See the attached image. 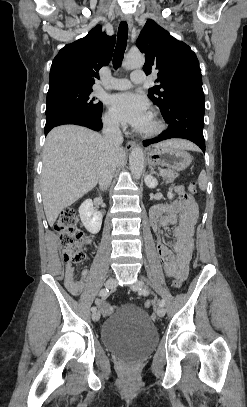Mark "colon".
<instances>
[{
  "instance_id": "colon-1",
  "label": "colon",
  "mask_w": 247,
  "mask_h": 407,
  "mask_svg": "<svg viewBox=\"0 0 247 407\" xmlns=\"http://www.w3.org/2000/svg\"><path fill=\"white\" fill-rule=\"evenodd\" d=\"M197 186L195 183H190L188 192L190 195L197 194ZM77 215L73 207L66 208L60 214L55 223V231L59 236L63 250V257L66 262L81 263L85 259L84 252V235L77 227ZM175 288L182 286V280L176 279L173 282ZM153 300L145 302L146 307H152Z\"/></svg>"
}]
</instances>
